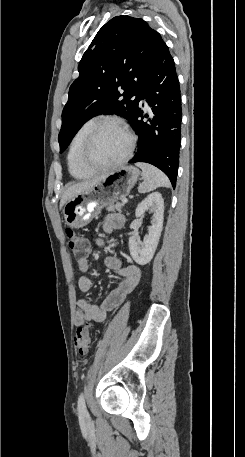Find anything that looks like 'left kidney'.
<instances>
[{
    "label": "left kidney",
    "instance_id": "left-kidney-1",
    "mask_svg": "<svg viewBox=\"0 0 245 457\" xmlns=\"http://www.w3.org/2000/svg\"><path fill=\"white\" fill-rule=\"evenodd\" d=\"M146 210L154 212L148 235L144 237L143 241H138L136 235L129 237L130 255L137 265L150 263L159 243L164 218V200L160 192H151L142 202H139L135 216H144Z\"/></svg>",
    "mask_w": 245,
    "mask_h": 457
}]
</instances>
